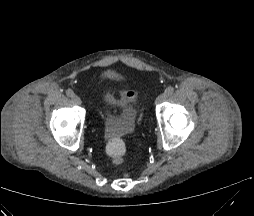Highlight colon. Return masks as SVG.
<instances>
[{
    "label": "colon",
    "instance_id": "1",
    "mask_svg": "<svg viewBox=\"0 0 254 216\" xmlns=\"http://www.w3.org/2000/svg\"><path fill=\"white\" fill-rule=\"evenodd\" d=\"M121 96L124 100L132 102L137 97V91L133 89L125 90L121 92ZM106 153L114 164H120L124 159L126 144L117 128L112 129L106 144Z\"/></svg>",
    "mask_w": 254,
    "mask_h": 216
}]
</instances>
